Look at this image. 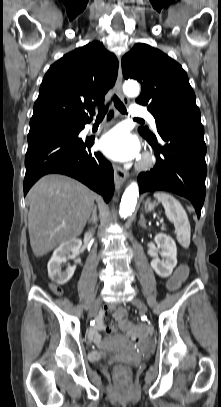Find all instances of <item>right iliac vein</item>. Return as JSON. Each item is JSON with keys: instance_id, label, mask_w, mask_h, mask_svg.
I'll list each match as a JSON object with an SVG mask.
<instances>
[{"instance_id": "right-iliac-vein-1", "label": "right iliac vein", "mask_w": 221, "mask_h": 407, "mask_svg": "<svg viewBox=\"0 0 221 407\" xmlns=\"http://www.w3.org/2000/svg\"><path fill=\"white\" fill-rule=\"evenodd\" d=\"M101 304H102V300H101L100 297H98V298L93 302V305H92V307H91V309H90V312H89V316H90V317H92V316L97 312V310L99 309V307L101 306Z\"/></svg>"}]
</instances>
